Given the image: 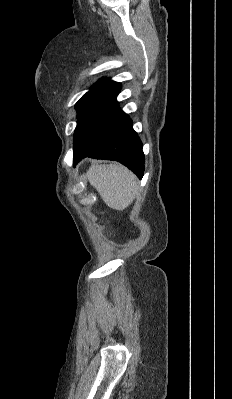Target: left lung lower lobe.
I'll use <instances>...</instances> for the list:
<instances>
[{"label":"left lung lower lobe","instance_id":"left-lung-lower-lobe-1","mask_svg":"<svg viewBox=\"0 0 232 399\" xmlns=\"http://www.w3.org/2000/svg\"><path fill=\"white\" fill-rule=\"evenodd\" d=\"M86 157L118 161L133 171L139 179L144 174L145 161L142 143L132 127V120L128 116L107 140L73 161V164L76 165Z\"/></svg>","mask_w":232,"mask_h":399}]
</instances>
